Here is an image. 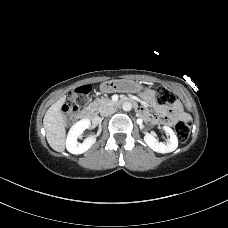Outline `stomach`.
Wrapping results in <instances>:
<instances>
[{"label": "stomach", "instance_id": "0dacf381", "mask_svg": "<svg viewBox=\"0 0 228 228\" xmlns=\"http://www.w3.org/2000/svg\"><path fill=\"white\" fill-rule=\"evenodd\" d=\"M142 90V85L138 82L118 79L105 81L100 85V91L103 93H114V92H129L138 93Z\"/></svg>", "mask_w": 228, "mask_h": 228}]
</instances>
